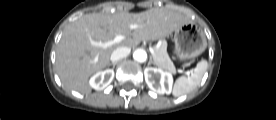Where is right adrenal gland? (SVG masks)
Listing matches in <instances>:
<instances>
[{
    "instance_id": "2a0ac1e0",
    "label": "right adrenal gland",
    "mask_w": 276,
    "mask_h": 120,
    "mask_svg": "<svg viewBox=\"0 0 276 120\" xmlns=\"http://www.w3.org/2000/svg\"><path fill=\"white\" fill-rule=\"evenodd\" d=\"M116 64H117V62H113V63H110L109 66L113 65V68H115Z\"/></svg>"
}]
</instances>
